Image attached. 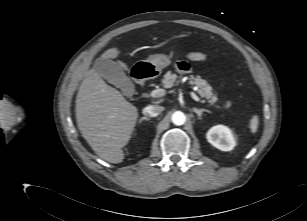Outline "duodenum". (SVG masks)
<instances>
[{
    "instance_id": "1",
    "label": "duodenum",
    "mask_w": 307,
    "mask_h": 221,
    "mask_svg": "<svg viewBox=\"0 0 307 221\" xmlns=\"http://www.w3.org/2000/svg\"><path fill=\"white\" fill-rule=\"evenodd\" d=\"M141 87H142V88L144 87V84H143V83H141Z\"/></svg>"
}]
</instances>
